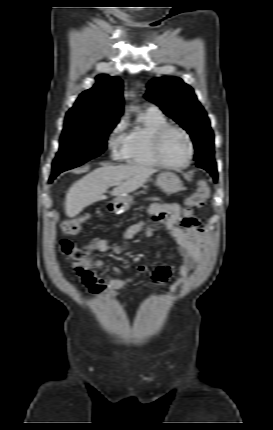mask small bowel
<instances>
[{
    "mask_svg": "<svg viewBox=\"0 0 273 430\" xmlns=\"http://www.w3.org/2000/svg\"><path fill=\"white\" fill-rule=\"evenodd\" d=\"M148 213L151 221L155 224H164L175 237L179 245V279L173 284V288L179 287L185 282L189 273L194 266L202 259V250L206 244V232L202 223L194 217L190 210L182 212L181 207L176 203H154L149 206ZM144 227V222L140 221L130 226L125 234L124 240L128 241L139 234ZM147 234H151L148 230ZM90 248L99 252L113 251L115 254L122 252V247L118 245L111 246L107 238H95L90 243ZM88 257L80 259L81 263L73 264V271L80 277V283L92 294H106L111 297H117L118 291L125 286L133 283L146 270L144 264L139 265L137 271L128 277L119 278V270L112 268L114 276L104 280L103 274H94L90 269ZM97 268L102 267V263H95ZM170 269L167 266L160 267L153 276L154 281L163 283L170 276Z\"/></svg>",
    "mask_w": 273,
    "mask_h": 430,
    "instance_id": "obj_1",
    "label": "small bowel"
}]
</instances>
